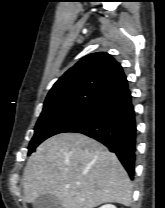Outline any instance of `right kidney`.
<instances>
[{
	"label": "right kidney",
	"mask_w": 165,
	"mask_h": 208,
	"mask_svg": "<svg viewBox=\"0 0 165 208\" xmlns=\"http://www.w3.org/2000/svg\"><path fill=\"white\" fill-rule=\"evenodd\" d=\"M99 208H116V206L112 205V204H106V205H103Z\"/></svg>",
	"instance_id": "right-kidney-1"
}]
</instances>
